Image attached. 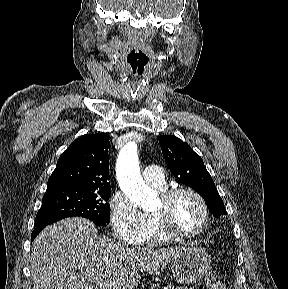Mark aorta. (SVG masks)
<instances>
[{
  "instance_id": "762f6f07",
  "label": "aorta",
  "mask_w": 288,
  "mask_h": 289,
  "mask_svg": "<svg viewBox=\"0 0 288 289\" xmlns=\"http://www.w3.org/2000/svg\"><path fill=\"white\" fill-rule=\"evenodd\" d=\"M116 176L124 194L142 210L153 209L157 203L156 193L143 181L138 161L137 145L127 143L120 151Z\"/></svg>"
}]
</instances>
